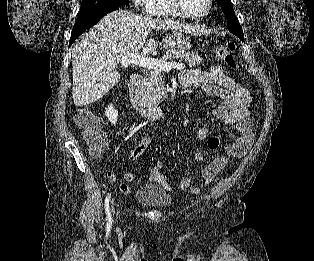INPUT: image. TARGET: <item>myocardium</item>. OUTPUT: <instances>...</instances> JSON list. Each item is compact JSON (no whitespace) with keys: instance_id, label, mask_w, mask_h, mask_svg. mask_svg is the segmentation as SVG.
<instances>
[{"instance_id":"1","label":"myocardium","mask_w":314,"mask_h":261,"mask_svg":"<svg viewBox=\"0 0 314 261\" xmlns=\"http://www.w3.org/2000/svg\"><path fill=\"white\" fill-rule=\"evenodd\" d=\"M169 6L175 10L177 13H179L181 16H184L186 18H190V19H200V18H203L205 16H207L212 8H213V3H214V0H208V7L207 9L203 12V13H200V14H193V13H190L188 12L181 4V1L180 0H167Z\"/></svg>"}]
</instances>
